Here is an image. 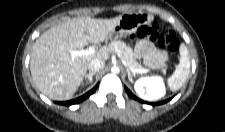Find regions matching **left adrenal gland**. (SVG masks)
Here are the masks:
<instances>
[{"mask_svg": "<svg viewBox=\"0 0 225 132\" xmlns=\"http://www.w3.org/2000/svg\"><path fill=\"white\" fill-rule=\"evenodd\" d=\"M127 73H128V79H129V81L130 82H133V79H132L133 74L130 71H128V70H127Z\"/></svg>", "mask_w": 225, "mask_h": 132, "instance_id": "left-adrenal-gland-1", "label": "left adrenal gland"}]
</instances>
